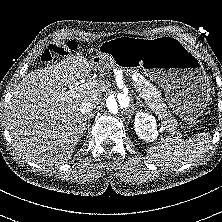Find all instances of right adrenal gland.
I'll list each match as a JSON object with an SVG mask.
<instances>
[{
	"label": "right adrenal gland",
	"instance_id": "right-adrenal-gland-1",
	"mask_svg": "<svg viewBox=\"0 0 222 222\" xmlns=\"http://www.w3.org/2000/svg\"><path fill=\"white\" fill-rule=\"evenodd\" d=\"M87 118H88L87 115L83 117V121H84V122H83V127H84L83 129H84V130H86L85 125L87 124V122H86V121H87Z\"/></svg>",
	"mask_w": 222,
	"mask_h": 222
}]
</instances>
